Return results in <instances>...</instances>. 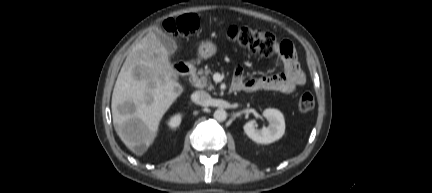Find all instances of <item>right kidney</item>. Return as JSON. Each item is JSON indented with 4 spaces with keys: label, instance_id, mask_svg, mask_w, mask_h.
Here are the masks:
<instances>
[{
    "label": "right kidney",
    "instance_id": "right-kidney-1",
    "mask_svg": "<svg viewBox=\"0 0 432 193\" xmlns=\"http://www.w3.org/2000/svg\"><path fill=\"white\" fill-rule=\"evenodd\" d=\"M180 123H181V115L177 114V115H175V116H173V117L170 118V120L168 122V125L171 128H176V127H178L180 125Z\"/></svg>",
    "mask_w": 432,
    "mask_h": 193
}]
</instances>
